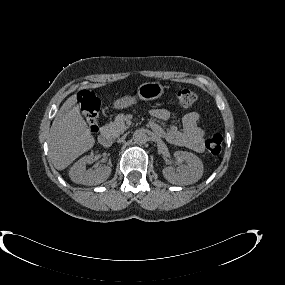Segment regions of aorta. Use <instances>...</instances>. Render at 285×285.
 <instances>
[{"instance_id": "aorta-1", "label": "aorta", "mask_w": 285, "mask_h": 285, "mask_svg": "<svg viewBox=\"0 0 285 285\" xmlns=\"http://www.w3.org/2000/svg\"><path fill=\"white\" fill-rule=\"evenodd\" d=\"M133 140L136 144H145L148 140L147 134L143 130H136L133 134Z\"/></svg>"}]
</instances>
